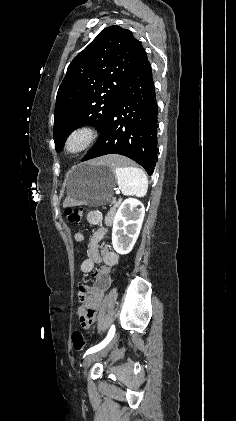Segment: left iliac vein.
<instances>
[{"mask_svg":"<svg viewBox=\"0 0 236 421\" xmlns=\"http://www.w3.org/2000/svg\"><path fill=\"white\" fill-rule=\"evenodd\" d=\"M115 340H116V336H114L112 339H111V341L104 347V348H102V349H100L99 351H97V352H94V353H91V354H89L88 356H86L85 358H84V364H85V370H84V376H86V370H87V367L92 363V362H94L95 360H97L98 358H100V357H102V356H104V355H106L111 349H112V347H113V345H114V342H115Z\"/></svg>","mask_w":236,"mask_h":421,"instance_id":"left-iliac-vein-1","label":"left iliac vein"}]
</instances>
